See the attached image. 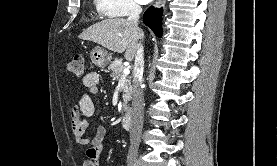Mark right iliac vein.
Listing matches in <instances>:
<instances>
[{
    "mask_svg": "<svg viewBox=\"0 0 277 166\" xmlns=\"http://www.w3.org/2000/svg\"><path fill=\"white\" fill-rule=\"evenodd\" d=\"M128 166H138V163L137 162H129Z\"/></svg>",
    "mask_w": 277,
    "mask_h": 166,
    "instance_id": "obj_1",
    "label": "right iliac vein"
}]
</instances>
